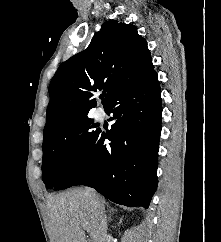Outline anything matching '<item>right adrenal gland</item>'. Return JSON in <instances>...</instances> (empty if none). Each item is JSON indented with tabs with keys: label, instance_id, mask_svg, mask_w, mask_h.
I'll use <instances>...</instances> for the list:
<instances>
[{
	"label": "right adrenal gland",
	"instance_id": "right-adrenal-gland-1",
	"mask_svg": "<svg viewBox=\"0 0 221 242\" xmlns=\"http://www.w3.org/2000/svg\"><path fill=\"white\" fill-rule=\"evenodd\" d=\"M115 211H116V209L109 207V217H108V221H109V222L112 221L111 216H112V214H113Z\"/></svg>",
	"mask_w": 221,
	"mask_h": 242
}]
</instances>
